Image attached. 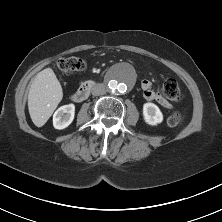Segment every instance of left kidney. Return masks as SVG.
I'll return each mask as SVG.
<instances>
[{"mask_svg": "<svg viewBox=\"0 0 222 222\" xmlns=\"http://www.w3.org/2000/svg\"><path fill=\"white\" fill-rule=\"evenodd\" d=\"M143 118L147 124L157 125L163 121V114L157 105L149 102L143 105Z\"/></svg>", "mask_w": 222, "mask_h": 222, "instance_id": "1", "label": "left kidney"}]
</instances>
